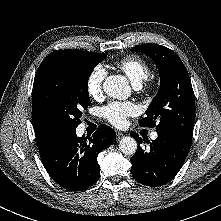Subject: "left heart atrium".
I'll return each instance as SVG.
<instances>
[{"instance_id": "obj_1", "label": "left heart atrium", "mask_w": 221, "mask_h": 221, "mask_svg": "<svg viewBox=\"0 0 221 221\" xmlns=\"http://www.w3.org/2000/svg\"><path fill=\"white\" fill-rule=\"evenodd\" d=\"M138 107L131 101H113L101 108L102 117L116 127L127 124L128 118L137 115Z\"/></svg>"}]
</instances>
